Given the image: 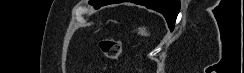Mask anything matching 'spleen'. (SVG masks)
Segmentation results:
<instances>
[{
    "mask_svg": "<svg viewBox=\"0 0 244 73\" xmlns=\"http://www.w3.org/2000/svg\"><path fill=\"white\" fill-rule=\"evenodd\" d=\"M138 34L142 35V36H148L149 35V33L147 32L145 27L138 28Z\"/></svg>",
    "mask_w": 244,
    "mask_h": 73,
    "instance_id": "spleen-1",
    "label": "spleen"
}]
</instances>
